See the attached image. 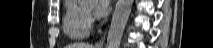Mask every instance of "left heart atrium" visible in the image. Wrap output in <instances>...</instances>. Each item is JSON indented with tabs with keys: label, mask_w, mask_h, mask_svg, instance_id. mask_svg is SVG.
Segmentation results:
<instances>
[{
	"label": "left heart atrium",
	"mask_w": 213,
	"mask_h": 48,
	"mask_svg": "<svg viewBox=\"0 0 213 48\" xmlns=\"http://www.w3.org/2000/svg\"><path fill=\"white\" fill-rule=\"evenodd\" d=\"M111 10V1L110 0H97L94 15L97 18L105 17Z\"/></svg>",
	"instance_id": "1"
}]
</instances>
